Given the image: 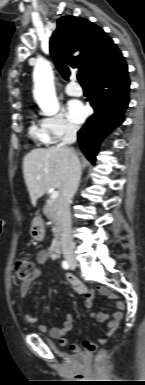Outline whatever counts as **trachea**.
Instances as JSON below:
<instances>
[{
	"label": "trachea",
	"mask_w": 145,
	"mask_h": 385,
	"mask_svg": "<svg viewBox=\"0 0 145 385\" xmlns=\"http://www.w3.org/2000/svg\"><path fill=\"white\" fill-rule=\"evenodd\" d=\"M77 79L81 84H85L84 81L82 80L81 75H77Z\"/></svg>",
	"instance_id": "trachea-1"
}]
</instances>
